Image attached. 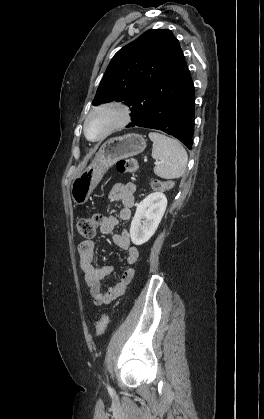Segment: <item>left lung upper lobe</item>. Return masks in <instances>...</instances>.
<instances>
[{
    "label": "left lung upper lobe",
    "mask_w": 264,
    "mask_h": 419,
    "mask_svg": "<svg viewBox=\"0 0 264 419\" xmlns=\"http://www.w3.org/2000/svg\"><path fill=\"white\" fill-rule=\"evenodd\" d=\"M170 30L150 29L120 49L108 65L93 105L124 101L131 110L144 101L154 83L168 79L181 54ZM144 97V98H143Z\"/></svg>",
    "instance_id": "1"
}]
</instances>
